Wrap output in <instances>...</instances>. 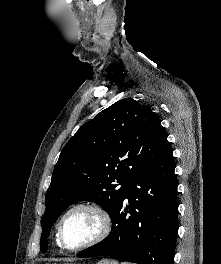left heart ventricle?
Segmentation results:
<instances>
[{
    "label": "left heart ventricle",
    "mask_w": 221,
    "mask_h": 264,
    "mask_svg": "<svg viewBox=\"0 0 221 264\" xmlns=\"http://www.w3.org/2000/svg\"><path fill=\"white\" fill-rule=\"evenodd\" d=\"M99 229L100 222L94 213L78 210L66 218L62 236L68 246L76 247L93 239L98 234Z\"/></svg>",
    "instance_id": "obj_1"
}]
</instances>
